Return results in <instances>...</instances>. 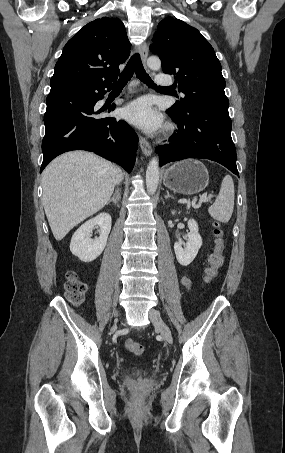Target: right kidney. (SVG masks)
Here are the masks:
<instances>
[{
  "label": "right kidney",
  "mask_w": 285,
  "mask_h": 453,
  "mask_svg": "<svg viewBox=\"0 0 285 453\" xmlns=\"http://www.w3.org/2000/svg\"><path fill=\"white\" fill-rule=\"evenodd\" d=\"M112 219L108 213H100L86 221L73 234L70 251L83 262L95 260L104 250L111 230ZM95 227H99V237L92 240L90 234Z\"/></svg>",
  "instance_id": "1"
}]
</instances>
